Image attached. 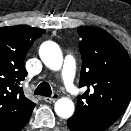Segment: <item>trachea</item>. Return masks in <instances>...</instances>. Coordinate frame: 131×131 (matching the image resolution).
I'll return each mask as SVG.
<instances>
[{
	"label": "trachea",
	"mask_w": 131,
	"mask_h": 131,
	"mask_svg": "<svg viewBox=\"0 0 131 131\" xmlns=\"http://www.w3.org/2000/svg\"><path fill=\"white\" fill-rule=\"evenodd\" d=\"M34 94L35 95H42V96H46V97H51L52 90H51L50 85L47 82H42L35 89Z\"/></svg>",
	"instance_id": "trachea-1"
}]
</instances>
